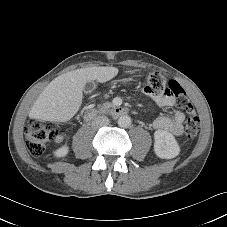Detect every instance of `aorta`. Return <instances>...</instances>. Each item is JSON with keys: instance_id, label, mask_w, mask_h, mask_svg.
<instances>
[{"instance_id": "obj_1", "label": "aorta", "mask_w": 227, "mask_h": 227, "mask_svg": "<svg viewBox=\"0 0 227 227\" xmlns=\"http://www.w3.org/2000/svg\"><path fill=\"white\" fill-rule=\"evenodd\" d=\"M118 125L121 128H128L131 125V118L128 115L120 116L118 119Z\"/></svg>"}]
</instances>
